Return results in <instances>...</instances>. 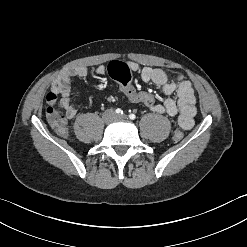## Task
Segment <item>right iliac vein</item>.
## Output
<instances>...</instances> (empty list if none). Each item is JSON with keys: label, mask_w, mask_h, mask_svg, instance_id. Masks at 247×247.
<instances>
[{"label": "right iliac vein", "mask_w": 247, "mask_h": 247, "mask_svg": "<svg viewBox=\"0 0 247 247\" xmlns=\"http://www.w3.org/2000/svg\"><path fill=\"white\" fill-rule=\"evenodd\" d=\"M104 119L105 121L109 122L112 121L114 119V113L112 110H108L105 114H104Z\"/></svg>", "instance_id": "right-iliac-vein-1"}]
</instances>
